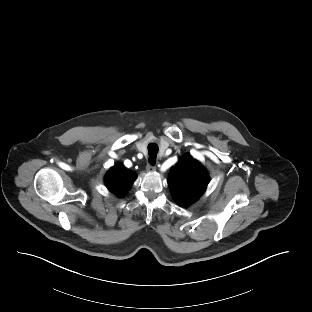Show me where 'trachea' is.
<instances>
[{
    "label": "trachea",
    "mask_w": 312,
    "mask_h": 312,
    "mask_svg": "<svg viewBox=\"0 0 312 312\" xmlns=\"http://www.w3.org/2000/svg\"><path fill=\"white\" fill-rule=\"evenodd\" d=\"M158 149V145L155 143H150L148 145L149 163L153 166L156 164Z\"/></svg>",
    "instance_id": "trachea-1"
}]
</instances>
